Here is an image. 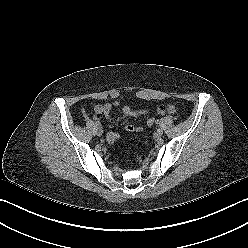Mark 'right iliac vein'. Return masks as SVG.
I'll use <instances>...</instances> for the list:
<instances>
[{
    "instance_id": "right-iliac-vein-1",
    "label": "right iliac vein",
    "mask_w": 248,
    "mask_h": 248,
    "mask_svg": "<svg viewBox=\"0 0 248 248\" xmlns=\"http://www.w3.org/2000/svg\"><path fill=\"white\" fill-rule=\"evenodd\" d=\"M96 134H97L98 136H102V134H103L102 129L98 128V129L96 130Z\"/></svg>"
}]
</instances>
